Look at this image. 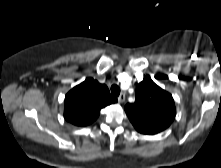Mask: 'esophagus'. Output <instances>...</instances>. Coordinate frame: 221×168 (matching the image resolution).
Segmentation results:
<instances>
[{
  "instance_id": "obj_1",
  "label": "esophagus",
  "mask_w": 221,
  "mask_h": 168,
  "mask_svg": "<svg viewBox=\"0 0 221 168\" xmlns=\"http://www.w3.org/2000/svg\"><path fill=\"white\" fill-rule=\"evenodd\" d=\"M125 98H126L125 94H124V93H121V94L119 95V97H118V101H119L120 103H123V102L125 101Z\"/></svg>"
}]
</instances>
